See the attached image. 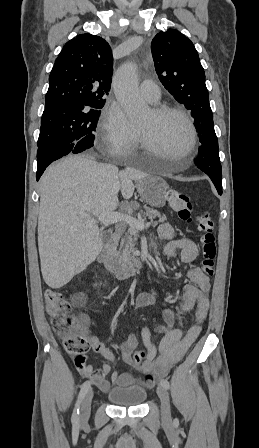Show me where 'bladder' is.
<instances>
[{
	"mask_svg": "<svg viewBox=\"0 0 259 448\" xmlns=\"http://www.w3.org/2000/svg\"><path fill=\"white\" fill-rule=\"evenodd\" d=\"M107 397L111 403L118 406H138L145 401L147 391L144 387L139 385L117 387L111 389L108 392Z\"/></svg>",
	"mask_w": 259,
	"mask_h": 448,
	"instance_id": "1",
	"label": "bladder"
}]
</instances>
